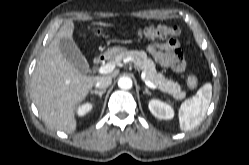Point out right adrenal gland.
Listing matches in <instances>:
<instances>
[{"label":"right adrenal gland","instance_id":"obj_1","mask_svg":"<svg viewBox=\"0 0 249 165\" xmlns=\"http://www.w3.org/2000/svg\"><path fill=\"white\" fill-rule=\"evenodd\" d=\"M106 92V89H103V90H93L91 91V94H96V95H99L100 98H102V95Z\"/></svg>","mask_w":249,"mask_h":165}]
</instances>
